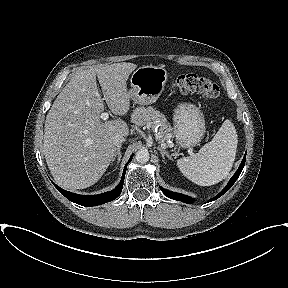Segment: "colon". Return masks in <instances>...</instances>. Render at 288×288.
Returning <instances> with one entry per match:
<instances>
[{
    "mask_svg": "<svg viewBox=\"0 0 288 288\" xmlns=\"http://www.w3.org/2000/svg\"><path fill=\"white\" fill-rule=\"evenodd\" d=\"M172 88L180 93H198L207 99L219 96V87L210 79L195 73L183 74L172 82Z\"/></svg>",
    "mask_w": 288,
    "mask_h": 288,
    "instance_id": "colon-1",
    "label": "colon"
}]
</instances>
